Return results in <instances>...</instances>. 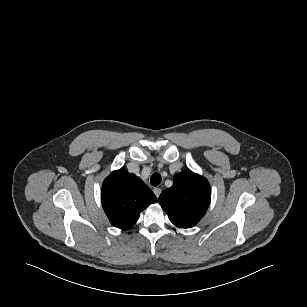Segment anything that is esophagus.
Here are the masks:
<instances>
[{"mask_svg": "<svg viewBox=\"0 0 307 307\" xmlns=\"http://www.w3.org/2000/svg\"><path fill=\"white\" fill-rule=\"evenodd\" d=\"M153 192H154V194L156 195V197L158 198V197L160 196L162 190H161L160 188H158V187H155V188L153 189Z\"/></svg>", "mask_w": 307, "mask_h": 307, "instance_id": "1", "label": "esophagus"}]
</instances>
